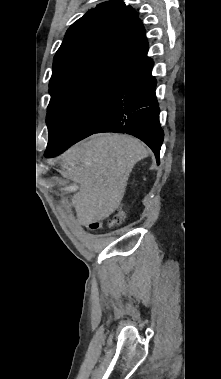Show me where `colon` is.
Returning a JSON list of instances; mask_svg holds the SVG:
<instances>
[{"mask_svg": "<svg viewBox=\"0 0 221 379\" xmlns=\"http://www.w3.org/2000/svg\"><path fill=\"white\" fill-rule=\"evenodd\" d=\"M123 220H124V213L122 211H118L107 221V224L110 226H113V225L120 224ZM102 225H103L102 222L95 221L89 225V228L91 230H97L101 228Z\"/></svg>", "mask_w": 221, "mask_h": 379, "instance_id": "5ec220e1", "label": "colon"}]
</instances>
